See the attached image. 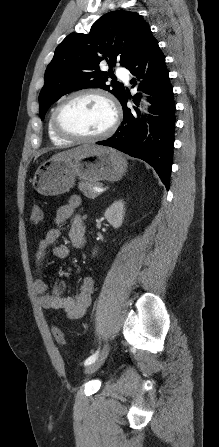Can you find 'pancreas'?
<instances>
[{
	"label": "pancreas",
	"mask_w": 219,
	"mask_h": 447,
	"mask_svg": "<svg viewBox=\"0 0 219 447\" xmlns=\"http://www.w3.org/2000/svg\"><path fill=\"white\" fill-rule=\"evenodd\" d=\"M93 187H101V184L98 182L92 183V182H84L81 181L78 184L79 190L88 198H96L99 193L95 192L93 190Z\"/></svg>",
	"instance_id": "cf45deb5"
}]
</instances>
